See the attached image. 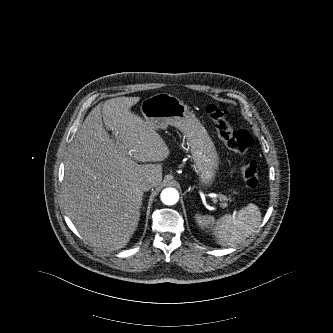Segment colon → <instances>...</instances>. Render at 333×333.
Here are the masks:
<instances>
[{
  "instance_id": "1",
  "label": "colon",
  "mask_w": 333,
  "mask_h": 333,
  "mask_svg": "<svg viewBox=\"0 0 333 333\" xmlns=\"http://www.w3.org/2000/svg\"><path fill=\"white\" fill-rule=\"evenodd\" d=\"M205 113L213 121L220 139L232 150L245 155L255 144L253 137L246 130H232L225 119V112L219 106L210 104L205 107ZM245 184L255 188L258 184L257 163L253 160L244 161L240 167Z\"/></svg>"
}]
</instances>
